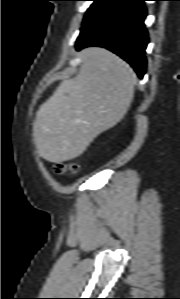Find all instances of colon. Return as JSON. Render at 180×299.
I'll return each instance as SVG.
<instances>
[{
    "label": "colon",
    "instance_id": "obj_1",
    "mask_svg": "<svg viewBox=\"0 0 180 299\" xmlns=\"http://www.w3.org/2000/svg\"><path fill=\"white\" fill-rule=\"evenodd\" d=\"M79 172V165L72 162H60L54 167V173L61 175L65 173L77 174Z\"/></svg>",
    "mask_w": 180,
    "mask_h": 299
}]
</instances>
